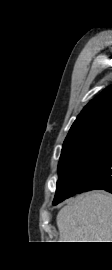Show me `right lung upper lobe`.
I'll list each match as a JSON object with an SVG mask.
<instances>
[{
    "instance_id": "cb5924a9",
    "label": "right lung upper lobe",
    "mask_w": 112,
    "mask_h": 270,
    "mask_svg": "<svg viewBox=\"0 0 112 270\" xmlns=\"http://www.w3.org/2000/svg\"><path fill=\"white\" fill-rule=\"evenodd\" d=\"M109 123H112V86L84 107L71 126L65 141L91 128Z\"/></svg>"
}]
</instances>
